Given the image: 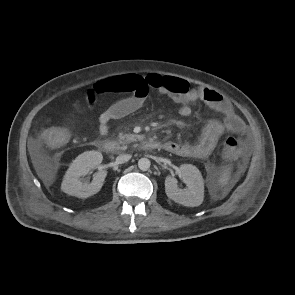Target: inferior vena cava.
I'll list each match as a JSON object with an SVG mask.
<instances>
[{"instance_id": "obj_1", "label": "inferior vena cava", "mask_w": 295, "mask_h": 295, "mask_svg": "<svg viewBox=\"0 0 295 295\" xmlns=\"http://www.w3.org/2000/svg\"><path fill=\"white\" fill-rule=\"evenodd\" d=\"M130 159H131V155L130 154H122V155H119L116 158V163L117 164H123V163L129 161Z\"/></svg>"}]
</instances>
